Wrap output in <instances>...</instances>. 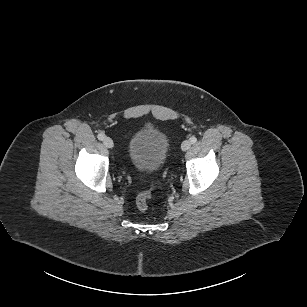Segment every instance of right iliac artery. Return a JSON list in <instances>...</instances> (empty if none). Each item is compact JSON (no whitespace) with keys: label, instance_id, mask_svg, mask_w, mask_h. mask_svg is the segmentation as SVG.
I'll use <instances>...</instances> for the list:
<instances>
[{"label":"right iliac artery","instance_id":"obj_1","mask_svg":"<svg viewBox=\"0 0 307 307\" xmlns=\"http://www.w3.org/2000/svg\"><path fill=\"white\" fill-rule=\"evenodd\" d=\"M97 138L102 141L104 139V135L100 133L98 134Z\"/></svg>","mask_w":307,"mask_h":307}]
</instances>
